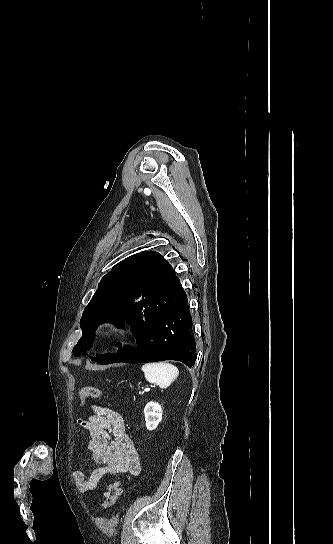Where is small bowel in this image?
<instances>
[{"mask_svg": "<svg viewBox=\"0 0 333 544\" xmlns=\"http://www.w3.org/2000/svg\"><path fill=\"white\" fill-rule=\"evenodd\" d=\"M81 424L90 437L86 450L97 465L89 474L84 469L74 471L73 479L81 492L94 489L107 475L139 474L141 466L137 449L118 412L95 405L93 414Z\"/></svg>", "mask_w": 333, "mask_h": 544, "instance_id": "c3829d8e", "label": "small bowel"}]
</instances>
